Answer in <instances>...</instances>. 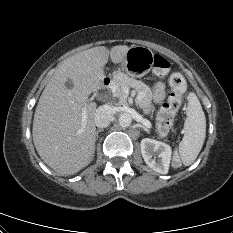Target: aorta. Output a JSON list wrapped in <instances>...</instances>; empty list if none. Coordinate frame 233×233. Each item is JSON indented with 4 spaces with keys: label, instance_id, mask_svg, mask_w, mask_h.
I'll use <instances>...</instances> for the list:
<instances>
[{
    "label": "aorta",
    "instance_id": "1",
    "mask_svg": "<svg viewBox=\"0 0 233 233\" xmlns=\"http://www.w3.org/2000/svg\"><path fill=\"white\" fill-rule=\"evenodd\" d=\"M119 125L122 127V128H126L128 126L131 125L132 123V117L129 113H122L120 116H119Z\"/></svg>",
    "mask_w": 233,
    "mask_h": 233
}]
</instances>
